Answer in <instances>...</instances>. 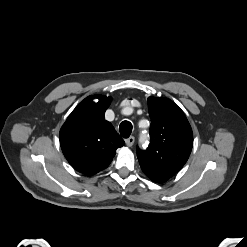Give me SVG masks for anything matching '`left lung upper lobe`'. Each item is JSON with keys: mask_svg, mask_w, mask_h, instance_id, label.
I'll return each mask as SVG.
<instances>
[{"mask_svg": "<svg viewBox=\"0 0 247 247\" xmlns=\"http://www.w3.org/2000/svg\"><path fill=\"white\" fill-rule=\"evenodd\" d=\"M151 141L137 149L142 171L153 181L164 183L186 163L193 146V133L183 111L166 98H148Z\"/></svg>", "mask_w": 247, "mask_h": 247, "instance_id": "left-lung-upper-lobe-1", "label": "left lung upper lobe"}]
</instances>
